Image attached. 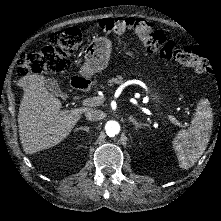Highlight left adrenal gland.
Masks as SVG:
<instances>
[{"mask_svg": "<svg viewBox=\"0 0 221 221\" xmlns=\"http://www.w3.org/2000/svg\"><path fill=\"white\" fill-rule=\"evenodd\" d=\"M128 120L131 121L132 124H133L135 127L138 126V125H141V124H145V125H146V123H144V122H142V121H140V120L135 119L132 115H129Z\"/></svg>", "mask_w": 221, "mask_h": 221, "instance_id": "obj_1", "label": "left adrenal gland"}]
</instances>
